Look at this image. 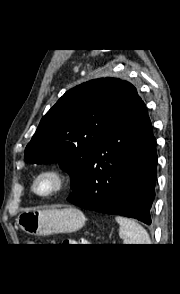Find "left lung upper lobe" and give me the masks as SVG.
<instances>
[{
	"label": "left lung upper lobe",
	"instance_id": "obj_1",
	"mask_svg": "<svg viewBox=\"0 0 180 294\" xmlns=\"http://www.w3.org/2000/svg\"><path fill=\"white\" fill-rule=\"evenodd\" d=\"M137 96L131 83L115 77L70 89L41 119L25 159L37 164L59 162L70 174L71 195L77 194L95 151Z\"/></svg>",
	"mask_w": 180,
	"mask_h": 294
}]
</instances>
